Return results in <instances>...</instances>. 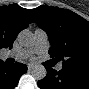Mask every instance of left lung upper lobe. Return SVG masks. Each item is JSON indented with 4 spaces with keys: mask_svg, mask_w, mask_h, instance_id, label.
<instances>
[{
    "mask_svg": "<svg viewBox=\"0 0 89 89\" xmlns=\"http://www.w3.org/2000/svg\"><path fill=\"white\" fill-rule=\"evenodd\" d=\"M31 12L48 34L51 57L63 60V68L89 71V22L72 11L47 5Z\"/></svg>",
    "mask_w": 89,
    "mask_h": 89,
    "instance_id": "1",
    "label": "left lung upper lobe"
}]
</instances>
